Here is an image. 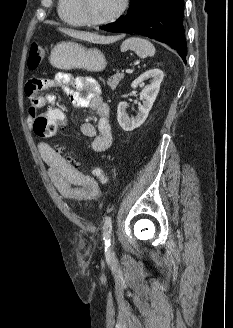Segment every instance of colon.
I'll use <instances>...</instances> for the list:
<instances>
[{"mask_svg": "<svg viewBox=\"0 0 233 328\" xmlns=\"http://www.w3.org/2000/svg\"><path fill=\"white\" fill-rule=\"evenodd\" d=\"M44 48L40 44L33 43L29 50L27 65L30 70L37 69L44 58ZM67 124V116L60 109H52L46 113L38 114L33 120V131L39 137H52L58 130L65 127ZM56 150L71 164H75L76 160L68 154L64 146H57ZM97 175L104 180V175L101 171H97Z\"/></svg>", "mask_w": 233, "mask_h": 328, "instance_id": "1", "label": "colon"}]
</instances>
